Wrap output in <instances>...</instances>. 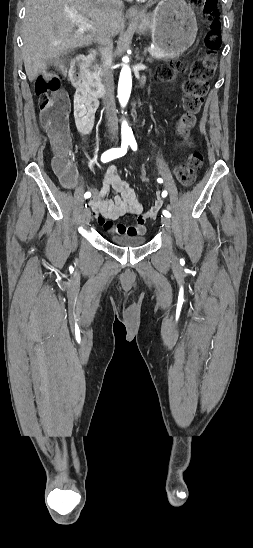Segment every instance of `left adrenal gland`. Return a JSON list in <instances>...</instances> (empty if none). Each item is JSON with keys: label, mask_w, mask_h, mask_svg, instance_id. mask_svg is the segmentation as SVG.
Wrapping results in <instances>:
<instances>
[{"label": "left adrenal gland", "mask_w": 253, "mask_h": 548, "mask_svg": "<svg viewBox=\"0 0 253 548\" xmlns=\"http://www.w3.org/2000/svg\"><path fill=\"white\" fill-rule=\"evenodd\" d=\"M144 53H146V51H144ZM147 61L151 62L152 60L150 58H148Z\"/></svg>", "instance_id": "1"}]
</instances>
